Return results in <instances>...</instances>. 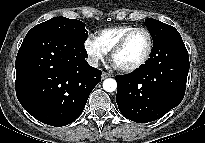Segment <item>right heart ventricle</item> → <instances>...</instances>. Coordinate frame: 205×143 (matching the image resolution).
Segmentation results:
<instances>
[{
    "instance_id": "obj_1",
    "label": "right heart ventricle",
    "mask_w": 205,
    "mask_h": 143,
    "mask_svg": "<svg viewBox=\"0 0 205 143\" xmlns=\"http://www.w3.org/2000/svg\"><path fill=\"white\" fill-rule=\"evenodd\" d=\"M134 28L132 25H119L99 31L96 35V40L103 50L108 53L121 39V37L130 29Z\"/></svg>"
}]
</instances>
